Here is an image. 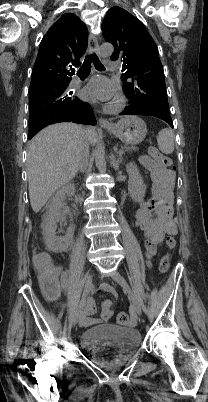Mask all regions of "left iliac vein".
Returning a JSON list of instances; mask_svg holds the SVG:
<instances>
[{
	"label": "left iliac vein",
	"mask_w": 208,
	"mask_h": 402,
	"mask_svg": "<svg viewBox=\"0 0 208 402\" xmlns=\"http://www.w3.org/2000/svg\"><path fill=\"white\" fill-rule=\"evenodd\" d=\"M112 278L123 288L125 293L128 295V298L130 299L137 314L141 315L142 309H141L140 303H139L138 299L136 298L135 294L133 293V291L131 290V288H130L129 284L127 283V281L125 280V278L117 272H114L112 274Z\"/></svg>",
	"instance_id": "obj_1"
}]
</instances>
